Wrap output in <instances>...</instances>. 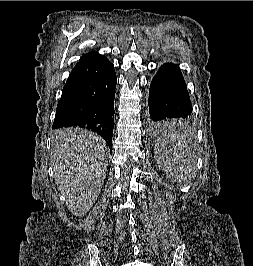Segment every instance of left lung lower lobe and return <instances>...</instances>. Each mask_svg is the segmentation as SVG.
Instances as JSON below:
<instances>
[{
	"label": "left lung lower lobe",
	"mask_w": 253,
	"mask_h": 266,
	"mask_svg": "<svg viewBox=\"0 0 253 266\" xmlns=\"http://www.w3.org/2000/svg\"><path fill=\"white\" fill-rule=\"evenodd\" d=\"M191 113L190 97L179 68L173 63H165L154 76L149 90L152 132L162 137L185 134L184 120Z\"/></svg>",
	"instance_id": "1"
}]
</instances>
